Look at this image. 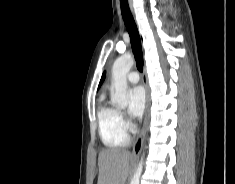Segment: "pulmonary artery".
<instances>
[{
  "label": "pulmonary artery",
  "instance_id": "obj_1",
  "mask_svg": "<svg viewBox=\"0 0 235 184\" xmlns=\"http://www.w3.org/2000/svg\"><path fill=\"white\" fill-rule=\"evenodd\" d=\"M126 79L129 83L136 84L140 80V75H139V73H137L135 71L129 72L126 76Z\"/></svg>",
  "mask_w": 235,
  "mask_h": 184
}]
</instances>
